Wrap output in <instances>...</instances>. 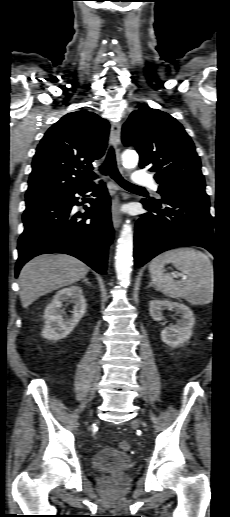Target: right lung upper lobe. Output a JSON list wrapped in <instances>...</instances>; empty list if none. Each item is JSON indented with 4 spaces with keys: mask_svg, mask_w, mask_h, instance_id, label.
Returning a JSON list of instances; mask_svg holds the SVG:
<instances>
[{
    "mask_svg": "<svg viewBox=\"0 0 230 517\" xmlns=\"http://www.w3.org/2000/svg\"><path fill=\"white\" fill-rule=\"evenodd\" d=\"M109 123L86 110L68 113L37 147L26 200L71 191L94 179L92 162L104 155Z\"/></svg>",
    "mask_w": 230,
    "mask_h": 517,
    "instance_id": "cb5924a9",
    "label": "right lung upper lobe"
}]
</instances>
